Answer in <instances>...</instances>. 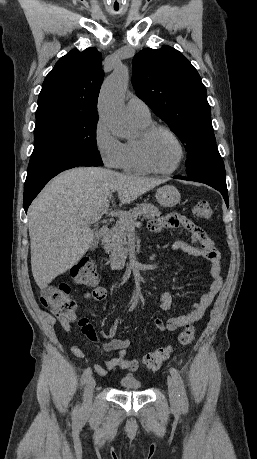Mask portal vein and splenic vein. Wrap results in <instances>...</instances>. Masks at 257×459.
Listing matches in <instances>:
<instances>
[{
  "label": "portal vein and splenic vein",
  "instance_id": "portal-vein-and-splenic-vein-1",
  "mask_svg": "<svg viewBox=\"0 0 257 459\" xmlns=\"http://www.w3.org/2000/svg\"><path fill=\"white\" fill-rule=\"evenodd\" d=\"M108 207H109V203H107L98 213H96L95 215H93L90 218H88L87 222L94 223L96 221H99L102 218V216L104 214H106L107 216H112V217L117 216L121 220H126L127 223L130 226H135L137 224L136 218L128 217L126 212H124V211H111V212H108L107 211Z\"/></svg>",
  "mask_w": 257,
  "mask_h": 459
}]
</instances>
